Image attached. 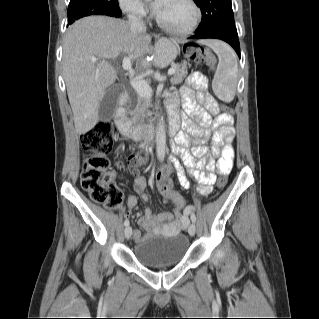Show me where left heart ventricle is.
Masks as SVG:
<instances>
[{
  "label": "left heart ventricle",
  "instance_id": "b2bd125f",
  "mask_svg": "<svg viewBox=\"0 0 319 319\" xmlns=\"http://www.w3.org/2000/svg\"><path fill=\"white\" fill-rule=\"evenodd\" d=\"M157 15L171 26L184 27L192 20L193 10L185 0H164Z\"/></svg>",
  "mask_w": 319,
  "mask_h": 319
}]
</instances>
